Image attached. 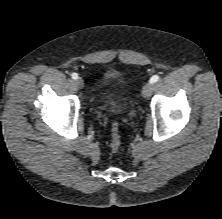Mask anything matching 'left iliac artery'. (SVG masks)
Returning a JSON list of instances; mask_svg holds the SVG:
<instances>
[{"instance_id": "obj_1", "label": "left iliac artery", "mask_w": 222, "mask_h": 219, "mask_svg": "<svg viewBox=\"0 0 222 219\" xmlns=\"http://www.w3.org/2000/svg\"><path fill=\"white\" fill-rule=\"evenodd\" d=\"M159 80V76L158 75H154L150 78V83H155Z\"/></svg>"}]
</instances>
